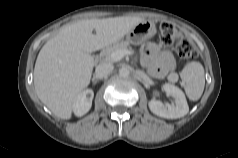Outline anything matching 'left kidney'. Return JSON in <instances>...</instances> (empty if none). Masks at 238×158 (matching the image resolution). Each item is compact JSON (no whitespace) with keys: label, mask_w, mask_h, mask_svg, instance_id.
Here are the masks:
<instances>
[{"label":"left kidney","mask_w":238,"mask_h":158,"mask_svg":"<svg viewBox=\"0 0 238 158\" xmlns=\"http://www.w3.org/2000/svg\"><path fill=\"white\" fill-rule=\"evenodd\" d=\"M167 95L175 99V104H163L158 100L149 101V109L157 116L167 119H177L189 112L185 94L177 86L166 83L162 86Z\"/></svg>","instance_id":"obj_1"}]
</instances>
